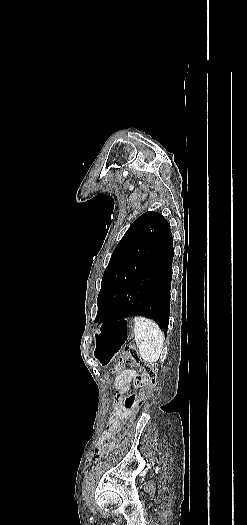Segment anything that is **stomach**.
<instances>
[{
  "mask_svg": "<svg viewBox=\"0 0 247 525\" xmlns=\"http://www.w3.org/2000/svg\"><path fill=\"white\" fill-rule=\"evenodd\" d=\"M134 336V321L117 319L102 324L94 337V357L101 367L108 366L122 346Z\"/></svg>",
  "mask_w": 247,
  "mask_h": 525,
  "instance_id": "obj_1",
  "label": "stomach"
}]
</instances>
